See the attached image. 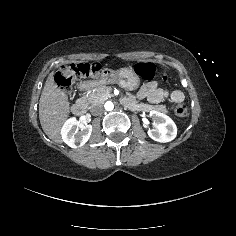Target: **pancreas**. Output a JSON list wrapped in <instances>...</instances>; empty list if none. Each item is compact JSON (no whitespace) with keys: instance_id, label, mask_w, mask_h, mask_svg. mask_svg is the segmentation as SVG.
I'll list each match as a JSON object with an SVG mask.
<instances>
[{"instance_id":"obj_1","label":"pancreas","mask_w":236,"mask_h":236,"mask_svg":"<svg viewBox=\"0 0 236 236\" xmlns=\"http://www.w3.org/2000/svg\"><path fill=\"white\" fill-rule=\"evenodd\" d=\"M112 88L108 86H98L95 87L94 90L85 95L81 98V101L92 106L97 103H103L108 98L112 97L111 94ZM119 102L123 105L126 109H129L133 112L135 111H150V110H157L163 112L164 114L169 113L166 109V105H149L143 102H139L132 96L131 93L126 92L125 95L119 98Z\"/></svg>"}]
</instances>
